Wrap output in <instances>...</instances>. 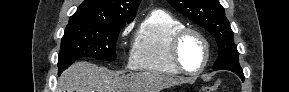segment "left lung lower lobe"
Listing matches in <instances>:
<instances>
[{
	"instance_id": "left-lung-lower-lobe-1",
	"label": "left lung lower lobe",
	"mask_w": 289,
	"mask_h": 92,
	"mask_svg": "<svg viewBox=\"0 0 289 92\" xmlns=\"http://www.w3.org/2000/svg\"><path fill=\"white\" fill-rule=\"evenodd\" d=\"M234 73H236L242 79V81H244L245 77H244L243 71H236Z\"/></svg>"
}]
</instances>
